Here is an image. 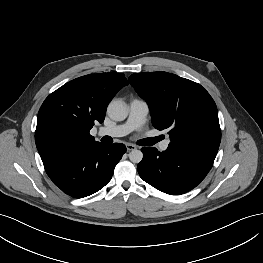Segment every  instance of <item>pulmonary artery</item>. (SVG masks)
Masks as SVG:
<instances>
[{
    "instance_id": "e3ab8cb5",
    "label": "pulmonary artery",
    "mask_w": 263,
    "mask_h": 263,
    "mask_svg": "<svg viewBox=\"0 0 263 263\" xmlns=\"http://www.w3.org/2000/svg\"><path fill=\"white\" fill-rule=\"evenodd\" d=\"M149 111L148 104L140 98H133L129 103V115L123 124L114 125L111 127H103L97 131L98 136L122 137L134 130H139L147 117ZM170 139L164 140L160 144L161 150H166L169 147Z\"/></svg>"
}]
</instances>
